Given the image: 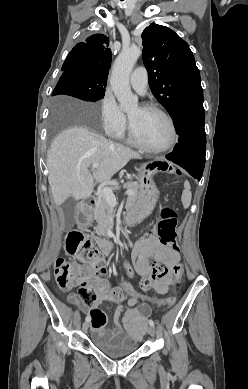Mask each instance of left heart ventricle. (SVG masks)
<instances>
[{
  "label": "left heart ventricle",
  "instance_id": "b2bd125f",
  "mask_svg": "<svg viewBox=\"0 0 248 389\" xmlns=\"http://www.w3.org/2000/svg\"><path fill=\"white\" fill-rule=\"evenodd\" d=\"M138 138L145 145L158 148L164 146L170 138L167 121L158 113L136 106L128 113Z\"/></svg>",
  "mask_w": 248,
  "mask_h": 389
}]
</instances>
